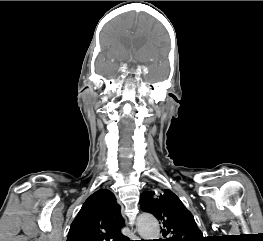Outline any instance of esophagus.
<instances>
[{
    "instance_id": "34e87169",
    "label": "esophagus",
    "mask_w": 263,
    "mask_h": 241,
    "mask_svg": "<svg viewBox=\"0 0 263 241\" xmlns=\"http://www.w3.org/2000/svg\"><path fill=\"white\" fill-rule=\"evenodd\" d=\"M133 240H134V241H141V238L138 237V236H135V237L133 238Z\"/></svg>"
}]
</instances>
